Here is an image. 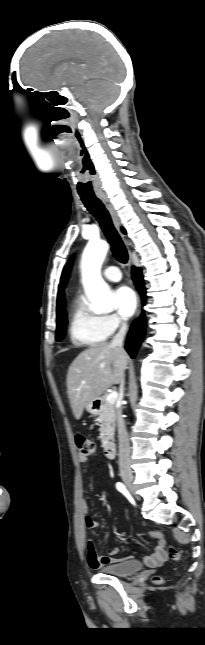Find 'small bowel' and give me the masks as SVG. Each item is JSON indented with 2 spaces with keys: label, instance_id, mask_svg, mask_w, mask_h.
<instances>
[{
  "label": "small bowel",
  "instance_id": "1",
  "mask_svg": "<svg viewBox=\"0 0 205 645\" xmlns=\"http://www.w3.org/2000/svg\"><path fill=\"white\" fill-rule=\"evenodd\" d=\"M86 460H87L86 457H83L81 455L79 456V461L81 463L86 462ZM82 508L84 512L88 511L89 506L86 501L83 502ZM86 526L88 529L91 530V529H94L97 526V524L91 518L87 517ZM165 544H166L165 539H159V544L155 548L154 552L151 555L144 557L143 561L147 566L157 567L162 565L164 562H166L167 553L165 550ZM118 555H119L118 548L112 549L108 554L99 555L91 541H89L87 544V561L91 568H100L108 564H113V563L128 559V558H120L118 557Z\"/></svg>",
  "mask_w": 205,
  "mask_h": 645
}]
</instances>
